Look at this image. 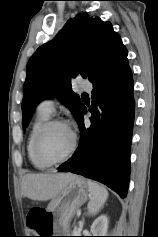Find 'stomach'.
I'll list each match as a JSON object with an SVG mask.
<instances>
[{
	"instance_id": "1",
	"label": "stomach",
	"mask_w": 158,
	"mask_h": 237,
	"mask_svg": "<svg viewBox=\"0 0 158 237\" xmlns=\"http://www.w3.org/2000/svg\"><path fill=\"white\" fill-rule=\"evenodd\" d=\"M90 190L84 179L76 177L48 204L47 211L54 219V230L65 234L67 227L62 226L66 220L69 225L76 210L88 199Z\"/></svg>"
}]
</instances>
